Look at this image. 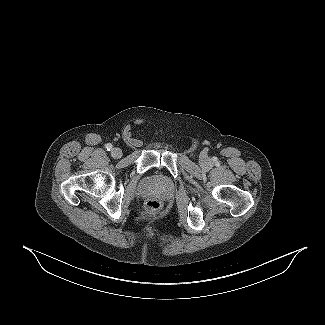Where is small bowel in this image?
<instances>
[{
  "label": "small bowel",
  "instance_id": "obj_1",
  "mask_svg": "<svg viewBox=\"0 0 325 325\" xmlns=\"http://www.w3.org/2000/svg\"><path fill=\"white\" fill-rule=\"evenodd\" d=\"M128 130H125V134L127 133Z\"/></svg>",
  "mask_w": 325,
  "mask_h": 325
}]
</instances>
